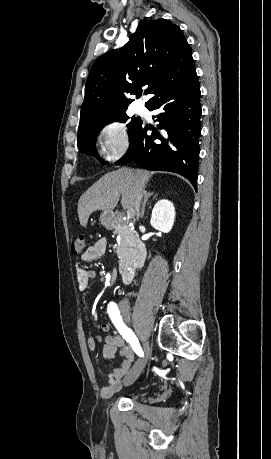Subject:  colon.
<instances>
[{"label":"colon","instance_id":"obj_1","mask_svg":"<svg viewBox=\"0 0 271 459\" xmlns=\"http://www.w3.org/2000/svg\"><path fill=\"white\" fill-rule=\"evenodd\" d=\"M86 248V236L84 234L78 235L72 242V252L74 255L82 254Z\"/></svg>","mask_w":271,"mask_h":459}]
</instances>
